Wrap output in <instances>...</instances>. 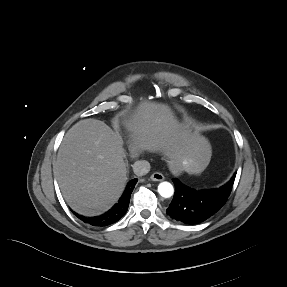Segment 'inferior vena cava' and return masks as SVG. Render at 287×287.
<instances>
[{
	"mask_svg": "<svg viewBox=\"0 0 287 287\" xmlns=\"http://www.w3.org/2000/svg\"><path fill=\"white\" fill-rule=\"evenodd\" d=\"M133 171L137 176L146 175L150 171V163L146 160H138L133 165Z\"/></svg>",
	"mask_w": 287,
	"mask_h": 287,
	"instance_id": "1",
	"label": "inferior vena cava"
}]
</instances>
